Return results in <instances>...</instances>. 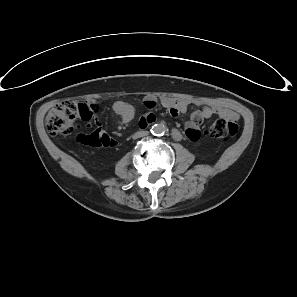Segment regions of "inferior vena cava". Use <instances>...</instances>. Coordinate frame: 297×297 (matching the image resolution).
<instances>
[{
	"label": "inferior vena cava",
	"instance_id": "1",
	"mask_svg": "<svg viewBox=\"0 0 297 297\" xmlns=\"http://www.w3.org/2000/svg\"><path fill=\"white\" fill-rule=\"evenodd\" d=\"M147 134H148L147 131H139V132H136V133L134 134V138L144 137V136H146Z\"/></svg>",
	"mask_w": 297,
	"mask_h": 297
}]
</instances>
